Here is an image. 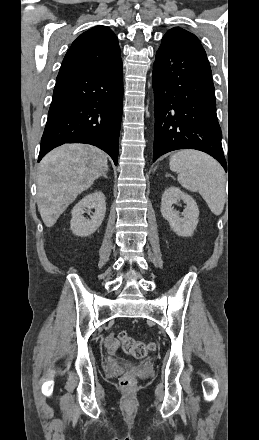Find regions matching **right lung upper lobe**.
Masks as SVG:
<instances>
[{"label":"right lung upper lobe","mask_w":259,"mask_h":440,"mask_svg":"<svg viewBox=\"0 0 259 440\" xmlns=\"http://www.w3.org/2000/svg\"><path fill=\"white\" fill-rule=\"evenodd\" d=\"M120 53L118 39L109 27H93L72 43L58 75L97 69L120 58Z\"/></svg>","instance_id":"cb5924a9"}]
</instances>
